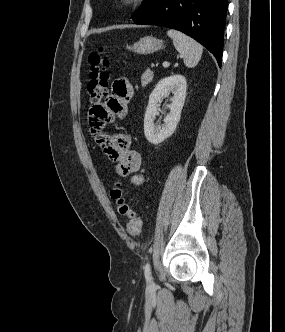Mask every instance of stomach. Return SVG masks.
<instances>
[{
    "instance_id": "1",
    "label": "stomach",
    "mask_w": 285,
    "mask_h": 332,
    "mask_svg": "<svg viewBox=\"0 0 285 332\" xmlns=\"http://www.w3.org/2000/svg\"><path fill=\"white\" fill-rule=\"evenodd\" d=\"M164 48L163 41L153 36H145L134 43L129 49L138 54H151Z\"/></svg>"
}]
</instances>
